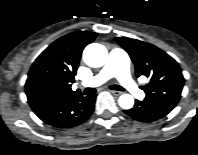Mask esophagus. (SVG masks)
I'll list each match as a JSON object with an SVG mask.
<instances>
[{
  "label": "esophagus",
  "instance_id": "34e87169",
  "mask_svg": "<svg viewBox=\"0 0 198 155\" xmlns=\"http://www.w3.org/2000/svg\"><path fill=\"white\" fill-rule=\"evenodd\" d=\"M110 92H111L113 95H115V96H119V95L122 94V92H120V91H115V90H110Z\"/></svg>",
  "mask_w": 198,
  "mask_h": 155
}]
</instances>
